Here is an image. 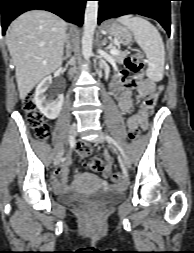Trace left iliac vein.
<instances>
[{
    "label": "left iliac vein",
    "instance_id": "4c4485c4",
    "mask_svg": "<svg viewBox=\"0 0 194 253\" xmlns=\"http://www.w3.org/2000/svg\"><path fill=\"white\" fill-rule=\"evenodd\" d=\"M105 140H106L105 135L102 132H100L98 134V136L94 139V142H96V143H103V142H105ZM122 165L125 168H130V166H131L130 159L125 154L122 156Z\"/></svg>",
    "mask_w": 194,
    "mask_h": 253
}]
</instances>
